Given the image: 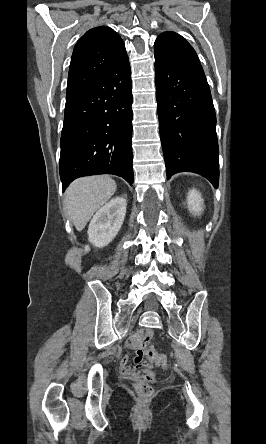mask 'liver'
I'll use <instances>...</instances> for the list:
<instances>
[{"label": "liver", "mask_w": 266, "mask_h": 444, "mask_svg": "<svg viewBox=\"0 0 266 444\" xmlns=\"http://www.w3.org/2000/svg\"><path fill=\"white\" fill-rule=\"evenodd\" d=\"M116 183L108 176H90L75 180L65 193V210L78 231L115 193Z\"/></svg>", "instance_id": "1"}]
</instances>
